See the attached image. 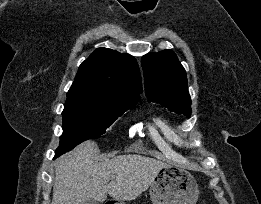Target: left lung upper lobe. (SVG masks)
Wrapping results in <instances>:
<instances>
[{
  "instance_id": "obj_1",
  "label": "left lung upper lobe",
  "mask_w": 261,
  "mask_h": 204,
  "mask_svg": "<svg viewBox=\"0 0 261 204\" xmlns=\"http://www.w3.org/2000/svg\"><path fill=\"white\" fill-rule=\"evenodd\" d=\"M145 94L152 102L177 114L191 115L186 71L172 50L148 53L141 58Z\"/></svg>"
}]
</instances>
